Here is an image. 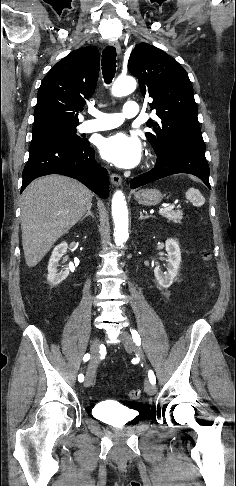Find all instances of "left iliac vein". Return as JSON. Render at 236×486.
I'll return each mask as SVG.
<instances>
[{"instance_id":"obj_1","label":"left iliac vein","mask_w":236,"mask_h":486,"mask_svg":"<svg viewBox=\"0 0 236 486\" xmlns=\"http://www.w3.org/2000/svg\"><path fill=\"white\" fill-rule=\"evenodd\" d=\"M121 338H122V341H123L125 348L128 349V350L134 351L136 353V355L139 356L141 361L145 362V357H144V353H143L142 349L135 344L131 335L126 330H122ZM144 388H145V391L148 395H154L156 393L155 385L152 384L149 380L145 381Z\"/></svg>"}]
</instances>
